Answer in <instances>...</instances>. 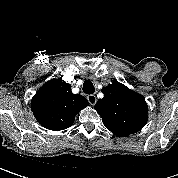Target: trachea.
<instances>
[{
	"label": "trachea",
	"instance_id": "trachea-1",
	"mask_svg": "<svg viewBox=\"0 0 178 178\" xmlns=\"http://www.w3.org/2000/svg\"><path fill=\"white\" fill-rule=\"evenodd\" d=\"M83 92L86 94H93L95 92V88L93 83L90 80H86L83 84Z\"/></svg>",
	"mask_w": 178,
	"mask_h": 178
}]
</instances>
